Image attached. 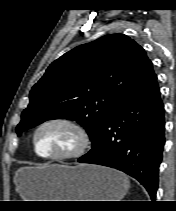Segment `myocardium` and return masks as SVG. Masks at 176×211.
Instances as JSON below:
<instances>
[{"label": "myocardium", "instance_id": "f54148a6", "mask_svg": "<svg viewBox=\"0 0 176 211\" xmlns=\"http://www.w3.org/2000/svg\"><path fill=\"white\" fill-rule=\"evenodd\" d=\"M51 125H62L70 129L76 136L77 144L73 151L56 155H42L37 149V136L39 132ZM91 146V137L87 129L77 121L67 117H53L41 122L32 135V147L37 157L43 160L63 161L76 159L84 155Z\"/></svg>", "mask_w": 176, "mask_h": 211}]
</instances>
